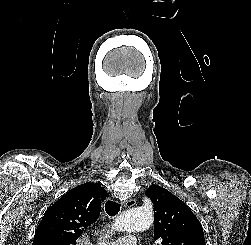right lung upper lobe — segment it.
I'll return each instance as SVG.
<instances>
[{
    "label": "right lung upper lobe",
    "instance_id": "1",
    "mask_svg": "<svg viewBox=\"0 0 251 245\" xmlns=\"http://www.w3.org/2000/svg\"><path fill=\"white\" fill-rule=\"evenodd\" d=\"M109 194L99 185L81 184L56 201L43 216L33 245H75L83 231L100 215Z\"/></svg>",
    "mask_w": 251,
    "mask_h": 245
}]
</instances>
